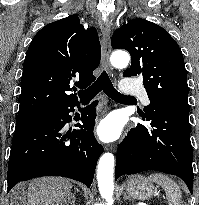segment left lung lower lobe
<instances>
[{"label": "left lung lower lobe", "mask_w": 199, "mask_h": 205, "mask_svg": "<svg viewBox=\"0 0 199 205\" xmlns=\"http://www.w3.org/2000/svg\"><path fill=\"white\" fill-rule=\"evenodd\" d=\"M145 112L149 128L137 124L118 147L115 180L125 174L155 170L180 177L192 193L189 112L158 102H150Z\"/></svg>", "instance_id": "0a47b994"}]
</instances>
